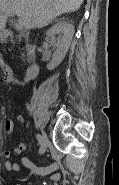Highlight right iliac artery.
Segmentation results:
<instances>
[{"label": "right iliac artery", "instance_id": "obj_1", "mask_svg": "<svg viewBox=\"0 0 119 185\" xmlns=\"http://www.w3.org/2000/svg\"><path fill=\"white\" fill-rule=\"evenodd\" d=\"M27 109L30 111L31 107L29 104H26ZM36 139L38 140L39 144H41V136L39 134L36 135Z\"/></svg>", "mask_w": 119, "mask_h": 185}]
</instances>
